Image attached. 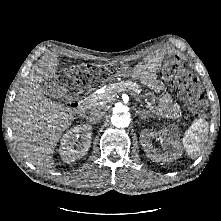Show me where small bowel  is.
Listing matches in <instances>:
<instances>
[{
	"label": "small bowel",
	"mask_w": 221,
	"mask_h": 221,
	"mask_svg": "<svg viewBox=\"0 0 221 221\" xmlns=\"http://www.w3.org/2000/svg\"><path fill=\"white\" fill-rule=\"evenodd\" d=\"M156 64L154 60L147 59L143 63L137 65L131 73L132 78H137L142 84L154 90L160 92L163 89L162 83L157 79L156 76ZM170 103V99L167 95H163L160 99V104L166 107ZM171 111L174 113L178 112L176 105L171 107Z\"/></svg>",
	"instance_id": "c3829d8e"
}]
</instances>
